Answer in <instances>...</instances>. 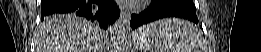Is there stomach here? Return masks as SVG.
<instances>
[{
  "label": "stomach",
  "mask_w": 261,
  "mask_h": 52,
  "mask_svg": "<svg viewBox=\"0 0 261 52\" xmlns=\"http://www.w3.org/2000/svg\"><path fill=\"white\" fill-rule=\"evenodd\" d=\"M130 44L134 49L141 52H146L156 45L154 38L148 35L146 28L133 32L130 37Z\"/></svg>",
  "instance_id": "obj_1"
}]
</instances>
